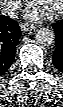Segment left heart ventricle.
<instances>
[{
    "instance_id": "b2bd125f",
    "label": "left heart ventricle",
    "mask_w": 63,
    "mask_h": 107,
    "mask_svg": "<svg viewBox=\"0 0 63 107\" xmlns=\"http://www.w3.org/2000/svg\"><path fill=\"white\" fill-rule=\"evenodd\" d=\"M33 3H35L37 7L43 9L47 13H52L58 9L60 0H37Z\"/></svg>"
}]
</instances>
